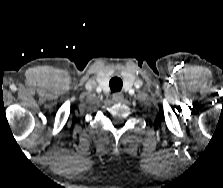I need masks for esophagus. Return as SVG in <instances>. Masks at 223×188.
Masks as SVG:
<instances>
[{
    "label": "esophagus",
    "mask_w": 223,
    "mask_h": 188,
    "mask_svg": "<svg viewBox=\"0 0 223 188\" xmlns=\"http://www.w3.org/2000/svg\"><path fill=\"white\" fill-rule=\"evenodd\" d=\"M114 99H115V101H117V102L121 101V99H122L121 94H120V93H116L115 96H114Z\"/></svg>",
    "instance_id": "esophagus-1"
}]
</instances>
